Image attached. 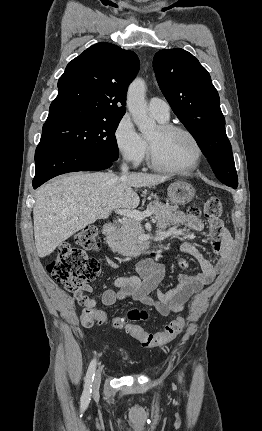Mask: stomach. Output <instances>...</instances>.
I'll return each instance as SVG.
<instances>
[{"label":"stomach","instance_id":"0dacf381","mask_svg":"<svg viewBox=\"0 0 262 431\" xmlns=\"http://www.w3.org/2000/svg\"><path fill=\"white\" fill-rule=\"evenodd\" d=\"M167 195L174 204L185 205L195 196V188L185 181L178 180L168 186Z\"/></svg>","mask_w":262,"mask_h":431}]
</instances>
